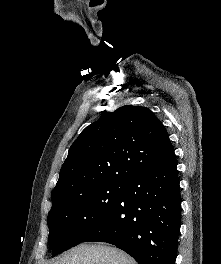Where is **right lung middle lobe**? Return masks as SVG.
Returning a JSON list of instances; mask_svg holds the SVG:
<instances>
[{"mask_svg":"<svg viewBox=\"0 0 221 264\" xmlns=\"http://www.w3.org/2000/svg\"><path fill=\"white\" fill-rule=\"evenodd\" d=\"M124 182L105 183L66 198L47 217L52 256L80 244L111 212Z\"/></svg>","mask_w":221,"mask_h":264,"instance_id":"dd1d6c3e","label":"right lung middle lobe"}]
</instances>
